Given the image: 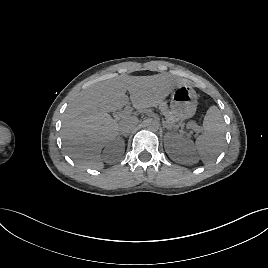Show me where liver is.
Masks as SVG:
<instances>
[{
  "label": "liver",
  "instance_id": "liver-1",
  "mask_svg": "<svg viewBox=\"0 0 268 268\" xmlns=\"http://www.w3.org/2000/svg\"><path fill=\"white\" fill-rule=\"evenodd\" d=\"M185 82L167 74L152 76L119 75L82 90L69 103L62 121L61 137L69 156L80 166L100 169L102 148L119 134V126L109 112L129 103L135 109L160 105L173 90ZM137 118L136 115L124 116ZM122 120V121H123Z\"/></svg>",
  "mask_w": 268,
  "mask_h": 268
}]
</instances>
